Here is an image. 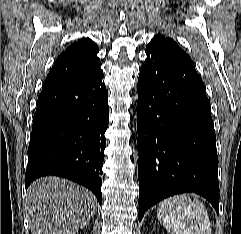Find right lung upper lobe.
Segmentation results:
<instances>
[{
	"mask_svg": "<svg viewBox=\"0 0 241 234\" xmlns=\"http://www.w3.org/2000/svg\"><path fill=\"white\" fill-rule=\"evenodd\" d=\"M98 51L97 45L89 38L70 45L58 56L43 88L75 81L100 68Z\"/></svg>",
	"mask_w": 241,
	"mask_h": 234,
	"instance_id": "1",
	"label": "right lung upper lobe"
}]
</instances>
